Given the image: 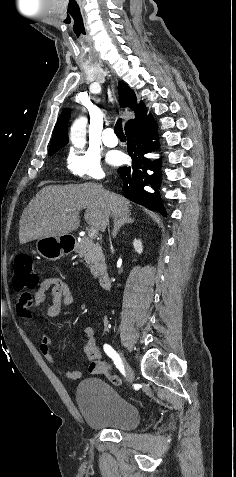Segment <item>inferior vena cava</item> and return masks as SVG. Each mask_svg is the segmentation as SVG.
<instances>
[{
	"label": "inferior vena cava",
	"mask_w": 236,
	"mask_h": 477,
	"mask_svg": "<svg viewBox=\"0 0 236 477\" xmlns=\"http://www.w3.org/2000/svg\"><path fill=\"white\" fill-rule=\"evenodd\" d=\"M108 222H109V215H108V213L106 212V213H105V217H104V222H103V224H104L105 227L108 225Z\"/></svg>",
	"instance_id": "1"
}]
</instances>
